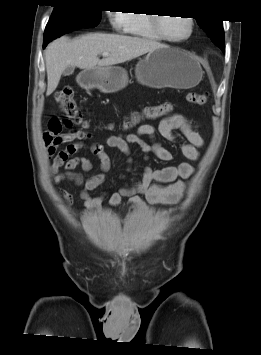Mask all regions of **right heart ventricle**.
<instances>
[{"label":"right heart ventricle","instance_id":"e07e8e85","mask_svg":"<svg viewBox=\"0 0 261 355\" xmlns=\"http://www.w3.org/2000/svg\"><path fill=\"white\" fill-rule=\"evenodd\" d=\"M152 15L154 14L138 11L128 13L127 32L135 37L160 40L152 25Z\"/></svg>","mask_w":261,"mask_h":355}]
</instances>
